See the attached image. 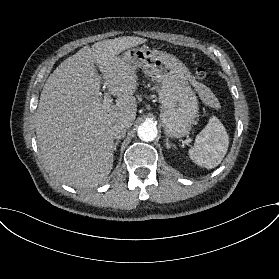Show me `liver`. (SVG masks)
I'll list each match as a JSON object with an SVG mask.
<instances>
[{
	"label": "liver",
	"mask_w": 279,
	"mask_h": 279,
	"mask_svg": "<svg viewBox=\"0 0 279 279\" xmlns=\"http://www.w3.org/2000/svg\"><path fill=\"white\" fill-rule=\"evenodd\" d=\"M147 39L124 36L84 46L65 59L48 77L35 114L42 157L65 184L88 188L104 184L113 167L111 128L136 118V67L119 57ZM98 66L102 77L96 73ZM117 96L116 104L102 100L100 84ZM199 94L202 85L192 80Z\"/></svg>",
	"instance_id": "6515ba94"
}]
</instances>
